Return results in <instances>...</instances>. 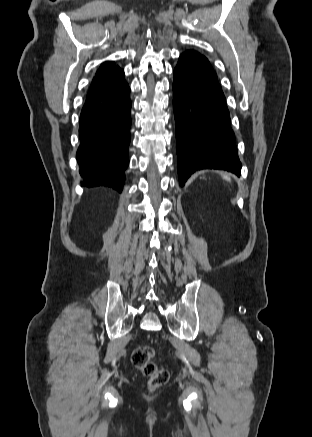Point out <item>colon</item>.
Wrapping results in <instances>:
<instances>
[{"label":"colon","instance_id":"5ec220e1","mask_svg":"<svg viewBox=\"0 0 312 437\" xmlns=\"http://www.w3.org/2000/svg\"><path fill=\"white\" fill-rule=\"evenodd\" d=\"M155 351L153 347L145 345L136 348L132 353L133 365L142 372L148 380V388L156 390L169 380V372L153 362Z\"/></svg>","mask_w":312,"mask_h":437}]
</instances>
